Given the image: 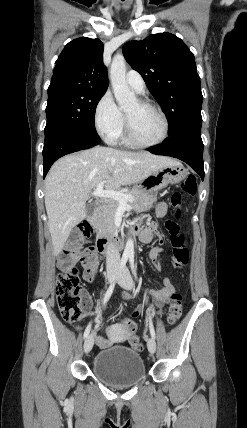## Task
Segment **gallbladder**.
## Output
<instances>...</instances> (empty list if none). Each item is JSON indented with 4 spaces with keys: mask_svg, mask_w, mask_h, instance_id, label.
Returning a JSON list of instances; mask_svg holds the SVG:
<instances>
[{
    "mask_svg": "<svg viewBox=\"0 0 247 428\" xmlns=\"http://www.w3.org/2000/svg\"><path fill=\"white\" fill-rule=\"evenodd\" d=\"M94 211V204L89 203L86 205V212L88 216H91Z\"/></svg>",
    "mask_w": 247,
    "mask_h": 428,
    "instance_id": "gallbladder-1",
    "label": "gallbladder"
}]
</instances>
